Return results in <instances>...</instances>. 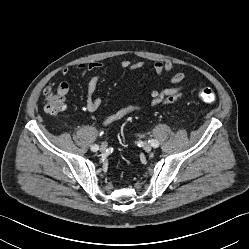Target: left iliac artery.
Returning <instances> with one entry per match:
<instances>
[{
    "label": "left iliac artery",
    "instance_id": "44dca946",
    "mask_svg": "<svg viewBox=\"0 0 249 249\" xmlns=\"http://www.w3.org/2000/svg\"><path fill=\"white\" fill-rule=\"evenodd\" d=\"M154 148H157L159 146V142L155 139H150L148 141Z\"/></svg>",
    "mask_w": 249,
    "mask_h": 249
}]
</instances>
